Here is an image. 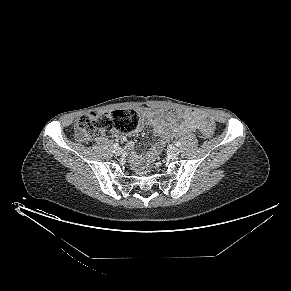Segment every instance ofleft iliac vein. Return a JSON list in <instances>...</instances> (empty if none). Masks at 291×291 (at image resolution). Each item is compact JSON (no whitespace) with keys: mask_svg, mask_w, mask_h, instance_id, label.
<instances>
[{"mask_svg":"<svg viewBox=\"0 0 291 291\" xmlns=\"http://www.w3.org/2000/svg\"><path fill=\"white\" fill-rule=\"evenodd\" d=\"M179 152H180V150H179L177 147H175V146L170 147L169 150H168V154H169L171 157H176V156H178V155H179Z\"/></svg>","mask_w":291,"mask_h":291,"instance_id":"1","label":"left iliac vein"}]
</instances>
